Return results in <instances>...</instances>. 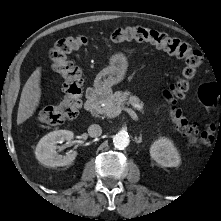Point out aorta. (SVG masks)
Returning a JSON list of instances; mask_svg holds the SVG:
<instances>
[{"label": "aorta", "mask_w": 221, "mask_h": 221, "mask_svg": "<svg viewBox=\"0 0 221 221\" xmlns=\"http://www.w3.org/2000/svg\"><path fill=\"white\" fill-rule=\"evenodd\" d=\"M113 142L116 148L122 150L129 145L130 139L127 133L119 132L114 136Z\"/></svg>", "instance_id": "aorta-1"}]
</instances>
